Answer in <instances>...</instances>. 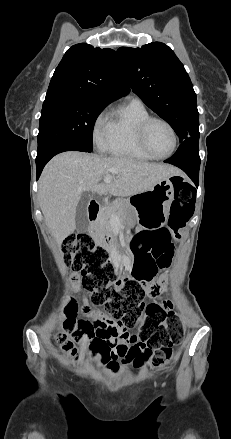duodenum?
Listing matches in <instances>:
<instances>
[{
    "mask_svg": "<svg viewBox=\"0 0 231 439\" xmlns=\"http://www.w3.org/2000/svg\"><path fill=\"white\" fill-rule=\"evenodd\" d=\"M89 216H90V220L95 223L97 217H98V211H99V205L96 201H91L89 204ZM104 242L106 244L109 243V237L105 236L104 237Z\"/></svg>",
    "mask_w": 231,
    "mask_h": 439,
    "instance_id": "obj_1",
    "label": "duodenum"
}]
</instances>
